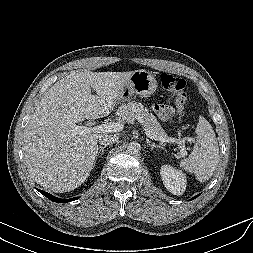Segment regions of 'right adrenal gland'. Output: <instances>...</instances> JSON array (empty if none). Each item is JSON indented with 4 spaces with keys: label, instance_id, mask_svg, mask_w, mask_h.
I'll use <instances>...</instances> for the list:
<instances>
[{
    "label": "right adrenal gland",
    "instance_id": "2a0ac1e0",
    "mask_svg": "<svg viewBox=\"0 0 253 253\" xmlns=\"http://www.w3.org/2000/svg\"><path fill=\"white\" fill-rule=\"evenodd\" d=\"M106 147H107V145L100 146V147L98 148L97 157H101V156H102L103 151H104V149H105Z\"/></svg>",
    "mask_w": 253,
    "mask_h": 253
}]
</instances>
